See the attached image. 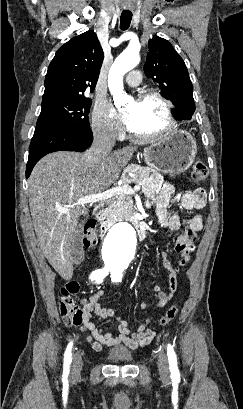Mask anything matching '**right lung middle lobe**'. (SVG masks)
I'll use <instances>...</instances> for the list:
<instances>
[{
  "instance_id": "1",
  "label": "right lung middle lobe",
  "mask_w": 243,
  "mask_h": 409,
  "mask_svg": "<svg viewBox=\"0 0 243 409\" xmlns=\"http://www.w3.org/2000/svg\"><path fill=\"white\" fill-rule=\"evenodd\" d=\"M91 100L84 97L42 101L36 127H51L65 131H88Z\"/></svg>"
}]
</instances>
